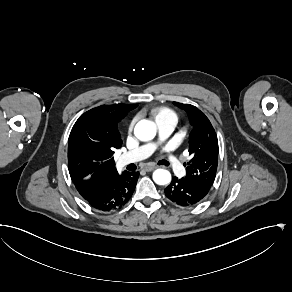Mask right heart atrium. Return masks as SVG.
Masks as SVG:
<instances>
[{"label": "right heart atrium", "instance_id": "right-heart-atrium-1", "mask_svg": "<svg viewBox=\"0 0 292 292\" xmlns=\"http://www.w3.org/2000/svg\"><path fill=\"white\" fill-rule=\"evenodd\" d=\"M132 127H133V121L129 124V126H128V133H130L131 132V130H132Z\"/></svg>", "mask_w": 292, "mask_h": 292}]
</instances>
